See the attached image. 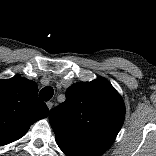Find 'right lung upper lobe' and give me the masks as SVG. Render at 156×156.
Returning <instances> with one entry per match:
<instances>
[{
    "label": "right lung upper lobe",
    "mask_w": 156,
    "mask_h": 156,
    "mask_svg": "<svg viewBox=\"0 0 156 156\" xmlns=\"http://www.w3.org/2000/svg\"><path fill=\"white\" fill-rule=\"evenodd\" d=\"M37 93L32 80L18 76L0 80V146L21 138L34 122L49 115Z\"/></svg>",
    "instance_id": "obj_1"
}]
</instances>
